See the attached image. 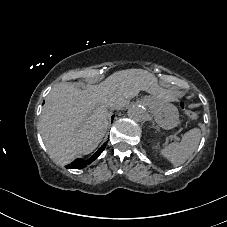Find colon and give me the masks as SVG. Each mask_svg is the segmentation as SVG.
I'll return each instance as SVG.
<instances>
[{"label":"colon","mask_w":227,"mask_h":227,"mask_svg":"<svg viewBox=\"0 0 227 227\" xmlns=\"http://www.w3.org/2000/svg\"><path fill=\"white\" fill-rule=\"evenodd\" d=\"M182 109L185 110L186 114L188 115V117L192 120H196L199 117V113L196 111H192L189 110L188 108H186L185 106H182Z\"/></svg>","instance_id":"colon-1"}]
</instances>
